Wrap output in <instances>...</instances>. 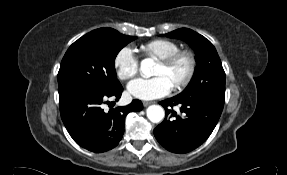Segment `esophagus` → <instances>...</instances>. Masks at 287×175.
I'll use <instances>...</instances> for the list:
<instances>
[{
  "label": "esophagus",
  "instance_id": "1",
  "mask_svg": "<svg viewBox=\"0 0 287 175\" xmlns=\"http://www.w3.org/2000/svg\"><path fill=\"white\" fill-rule=\"evenodd\" d=\"M153 102H151V101H144L143 102V106L144 107H147V106H149L150 104H152Z\"/></svg>",
  "mask_w": 287,
  "mask_h": 175
}]
</instances>
